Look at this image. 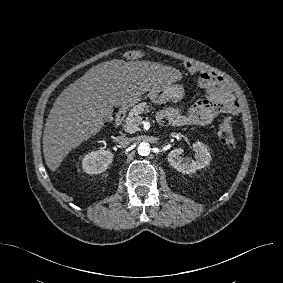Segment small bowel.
<instances>
[{
	"label": "small bowel",
	"mask_w": 283,
	"mask_h": 283,
	"mask_svg": "<svg viewBox=\"0 0 283 283\" xmlns=\"http://www.w3.org/2000/svg\"><path fill=\"white\" fill-rule=\"evenodd\" d=\"M189 72L197 73L200 86L207 97L193 103L187 111L181 113L174 108H167L158 115L175 127L189 125H207L219 116L239 111V103L230 92L223 78L195 64L188 63Z\"/></svg>",
	"instance_id": "small-bowel-1"
}]
</instances>
